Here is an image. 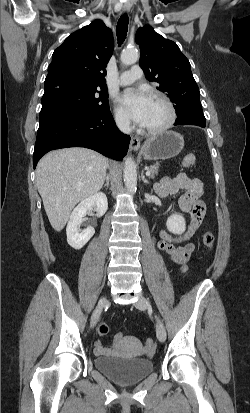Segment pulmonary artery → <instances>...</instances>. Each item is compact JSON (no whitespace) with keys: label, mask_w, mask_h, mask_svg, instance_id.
I'll return each mask as SVG.
<instances>
[{"label":"pulmonary artery","mask_w":250,"mask_h":413,"mask_svg":"<svg viewBox=\"0 0 250 413\" xmlns=\"http://www.w3.org/2000/svg\"><path fill=\"white\" fill-rule=\"evenodd\" d=\"M142 71L139 66H133L130 70L123 72L119 77V84L129 85L141 77Z\"/></svg>","instance_id":"obj_1"}]
</instances>
